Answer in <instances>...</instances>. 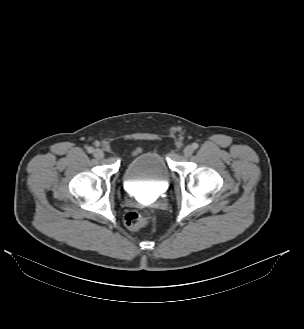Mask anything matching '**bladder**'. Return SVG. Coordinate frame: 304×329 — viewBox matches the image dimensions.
I'll return each mask as SVG.
<instances>
[{
    "instance_id": "obj_1",
    "label": "bladder",
    "mask_w": 304,
    "mask_h": 329,
    "mask_svg": "<svg viewBox=\"0 0 304 329\" xmlns=\"http://www.w3.org/2000/svg\"><path fill=\"white\" fill-rule=\"evenodd\" d=\"M122 178L126 185L151 183L165 186L169 182L170 170L162 155L156 151H146L125 165Z\"/></svg>"
}]
</instances>
